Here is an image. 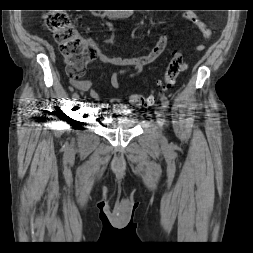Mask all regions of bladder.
Returning a JSON list of instances; mask_svg holds the SVG:
<instances>
[{
  "label": "bladder",
  "mask_w": 253,
  "mask_h": 253,
  "mask_svg": "<svg viewBox=\"0 0 253 253\" xmlns=\"http://www.w3.org/2000/svg\"><path fill=\"white\" fill-rule=\"evenodd\" d=\"M102 122L111 129H131L137 124L136 118L128 109L105 110L100 112Z\"/></svg>",
  "instance_id": "1"
}]
</instances>
